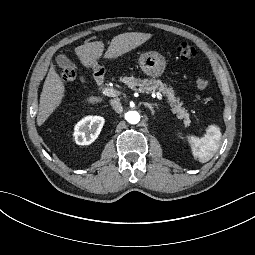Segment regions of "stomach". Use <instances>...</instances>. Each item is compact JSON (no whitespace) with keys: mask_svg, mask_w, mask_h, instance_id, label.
I'll list each match as a JSON object with an SVG mask.
<instances>
[{"mask_svg":"<svg viewBox=\"0 0 255 255\" xmlns=\"http://www.w3.org/2000/svg\"><path fill=\"white\" fill-rule=\"evenodd\" d=\"M139 64L142 71L151 77H159L165 69V60L158 53L142 54L139 59ZM95 71L99 69L98 64L93 65Z\"/></svg>","mask_w":255,"mask_h":255,"instance_id":"0dacf381","label":"stomach"}]
</instances>
